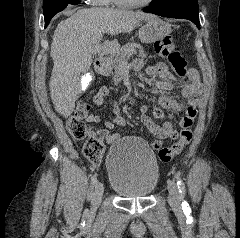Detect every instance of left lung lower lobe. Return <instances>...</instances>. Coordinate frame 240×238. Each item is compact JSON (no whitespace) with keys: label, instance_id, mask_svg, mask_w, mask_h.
Masks as SVG:
<instances>
[{"label":"left lung lower lobe","instance_id":"0a47b994","mask_svg":"<svg viewBox=\"0 0 240 238\" xmlns=\"http://www.w3.org/2000/svg\"><path fill=\"white\" fill-rule=\"evenodd\" d=\"M145 12L162 17L188 19L200 28L198 2L195 0H174L156 7H148Z\"/></svg>","mask_w":240,"mask_h":238}]
</instances>
